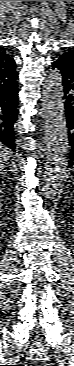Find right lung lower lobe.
<instances>
[{
    "instance_id": "98d812e1",
    "label": "right lung lower lobe",
    "mask_w": 74,
    "mask_h": 366,
    "mask_svg": "<svg viewBox=\"0 0 74 366\" xmlns=\"http://www.w3.org/2000/svg\"><path fill=\"white\" fill-rule=\"evenodd\" d=\"M16 79L9 84L0 85V144L6 145L13 152H16L14 124L18 115Z\"/></svg>"
}]
</instances>
